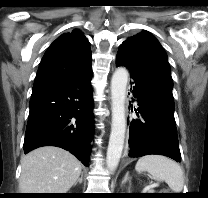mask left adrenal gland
<instances>
[{"mask_svg":"<svg viewBox=\"0 0 208 198\" xmlns=\"http://www.w3.org/2000/svg\"><path fill=\"white\" fill-rule=\"evenodd\" d=\"M126 182H129V187H128V191L130 193V189H131V177H129V171L125 174L124 179L122 180L121 185H124Z\"/></svg>","mask_w":208,"mask_h":198,"instance_id":"1","label":"left adrenal gland"}]
</instances>
